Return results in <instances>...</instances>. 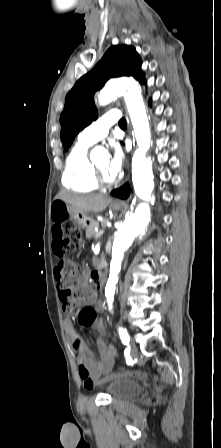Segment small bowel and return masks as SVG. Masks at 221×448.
I'll return each mask as SVG.
<instances>
[{"mask_svg": "<svg viewBox=\"0 0 221 448\" xmlns=\"http://www.w3.org/2000/svg\"><path fill=\"white\" fill-rule=\"evenodd\" d=\"M57 226L58 222L53 218L52 249L54 254L56 256H59L60 252L57 249V245L61 243V239L55 234L54 231L55 228H57ZM81 306L83 307L96 306L98 310H102L101 303L96 299V293L86 284L85 278H82L80 280L79 287L76 292L74 300L71 303L64 304L63 309L64 311H70L73 307H81ZM82 311L78 313V321L81 325H84L83 323L84 317ZM91 326L100 335L98 339V345H99L98 354L94 353L83 342L78 340V338L75 335L73 323L70 319H66L64 321L65 331L77 362L79 364L85 365L89 373L93 377L98 378L102 374L108 372L113 367L117 351L112 345H110L103 339V336L106 334V326L102 319L96 318V320L91 324Z\"/></svg>", "mask_w": 221, "mask_h": 448, "instance_id": "obj_1", "label": "small bowel"}]
</instances>
